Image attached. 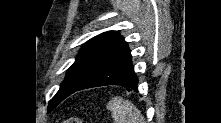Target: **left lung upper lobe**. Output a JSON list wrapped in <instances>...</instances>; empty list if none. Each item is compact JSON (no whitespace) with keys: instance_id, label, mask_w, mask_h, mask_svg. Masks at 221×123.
Segmentation results:
<instances>
[{"instance_id":"5c2ea615","label":"left lung upper lobe","mask_w":221,"mask_h":123,"mask_svg":"<svg viewBox=\"0 0 221 123\" xmlns=\"http://www.w3.org/2000/svg\"><path fill=\"white\" fill-rule=\"evenodd\" d=\"M128 50L127 42L116 31L104 32L87 41L76 61L68 69L59 91L50 103L49 110H53L89 78Z\"/></svg>"}]
</instances>
